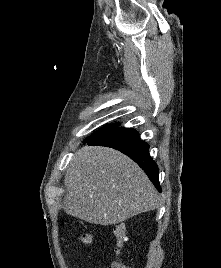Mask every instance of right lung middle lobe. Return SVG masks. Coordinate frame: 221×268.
<instances>
[{"label": "right lung middle lobe", "instance_id": "1", "mask_svg": "<svg viewBox=\"0 0 221 268\" xmlns=\"http://www.w3.org/2000/svg\"><path fill=\"white\" fill-rule=\"evenodd\" d=\"M116 126H118V124H114V125H112V126H110V127H108V128H104V129H102L101 131H99L97 134H95V135L89 137L88 140L91 139V138H93V137H95V136H97V135H100V134H102V133H104V132H106V131H108V130L113 129V128L116 127Z\"/></svg>", "mask_w": 221, "mask_h": 268}]
</instances>
